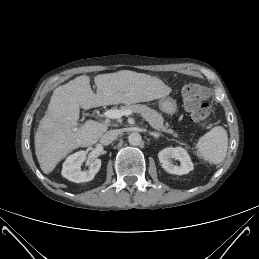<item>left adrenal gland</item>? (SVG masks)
Instances as JSON below:
<instances>
[{
    "label": "left adrenal gland",
    "mask_w": 259,
    "mask_h": 259,
    "mask_svg": "<svg viewBox=\"0 0 259 259\" xmlns=\"http://www.w3.org/2000/svg\"><path fill=\"white\" fill-rule=\"evenodd\" d=\"M156 136L158 137V136H162V135H160V134H156Z\"/></svg>",
    "instance_id": "1"
}]
</instances>
